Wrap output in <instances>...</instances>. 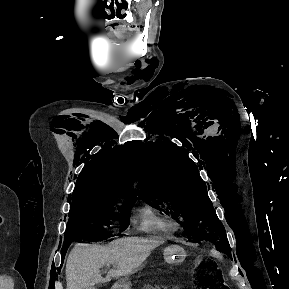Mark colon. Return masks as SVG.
<instances>
[{"label": "colon", "mask_w": 289, "mask_h": 289, "mask_svg": "<svg viewBox=\"0 0 289 289\" xmlns=\"http://www.w3.org/2000/svg\"><path fill=\"white\" fill-rule=\"evenodd\" d=\"M193 281L198 289H227V284L220 278L216 267L205 262L197 267L193 274Z\"/></svg>", "instance_id": "5ec220e1"}]
</instances>
